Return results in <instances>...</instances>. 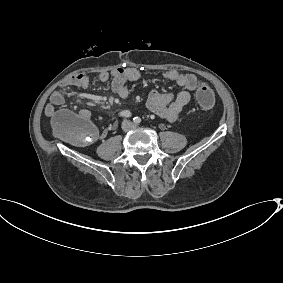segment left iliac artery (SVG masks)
<instances>
[{
    "mask_svg": "<svg viewBox=\"0 0 283 283\" xmlns=\"http://www.w3.org/2000/svg\"><path fill=\"white\" fill-rule=\"evenodd\" d=\"M133 122H134L135 124H139V123H141V118H140V117H134V118H133Z\"/></svg>",
    "mask_w": 283,
    "mask_h": 283,
    "instance_id": "left-iliac-artery-1",
    "label": "left iliac artery"
}]
</instances>
